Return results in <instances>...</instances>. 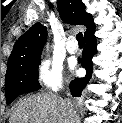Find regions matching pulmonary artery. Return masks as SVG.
I'll return each instance as SVG.
<instances>
[{
    "label": "pulmonary artery",
    "mask_w": 122,
    "mask_h": 123,
    "mask_svg": "<svg viewBox=\"0 0 122 123\" xmlns=\"http://www.w3.org/2000/svg\"><path fill=\"white\" fill-rule=\"evenodd\" d=\"M66 48H67L68 52L71 54H74L78 51V45H77L76 39L74 37L69 38Z\"/></svg>",
    "instance_id": "1"
}]
</instances>
